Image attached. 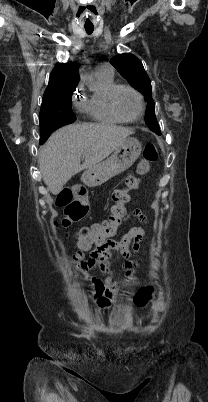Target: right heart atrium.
Returning <instances> with one entry per match:
<instances>
[{
	"label": "right heart atrium",
	"instance_id": "1",
	"mask_svg": "<svg viewBox=\"0 0 208 402\" xmlns=\"http://www.w3.org/2000/svg\"><path fill=\"white\" fill-rule=\"evenodd\" d=\"M81 89H82V85L80 84V85H78L76 91L72 95V103L78 109H83L84 108V106L77 101V94Z\"/></svg>",
	"mask_w": 208,
	"mask_h": 402
}]
</instances>
